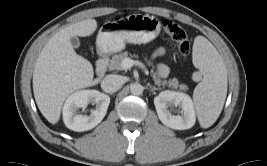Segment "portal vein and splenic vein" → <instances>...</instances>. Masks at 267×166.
<instances>
[{"instance_id":"18ae733b","label":"portal vein and splenic vein","mask_w":267,"mask_h":166,"mask_svg":"<svg viewBox=\"0 0 267 166\" xmlns=\"http://www.w3.org/2000/svg\"><path fill=\"white\" fill-rule=\"evenodd\" d=\"M133 65L139 66L147 71L146 66L138 60H132L131 58L127 57L122 61V67L124 69H130Z\"/></svg>"}]
</instances>
